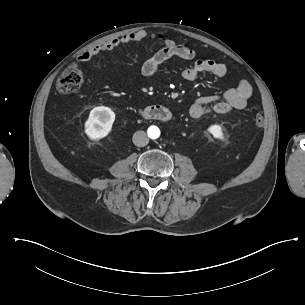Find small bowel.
I'll list each match as a JSON object with an SVG mask.
<instances>
[{"label":"small bowel","instance_id":"1","mask_svg":"<svg viewBox=\"0 0 305 305\" xmlns=\"http://www.w3.org/2000/svg\"><path fill=\"white\" fill-rule=\"evenodd\" d=\"M124 44L139 43L146 40H152L160 43L162 48L152 57L146 60L141 68V73L146 78L156 76L159 67L167 60L173 57L193 61L192 66L186 68L182 73V78L187 82L194 81L200 73H210L218 78L227 75V66L212 59L196 58L193 49L176 44L171 38L161 32H152L140 30L123 35ZM121 45L119 39L110 37L106 42L98 44L86 52L78 55L79 60H90L111 48L117 49ZM252 96V86L246 79H240L236 86L227 89L221 96L206 95L196 98L189 107V114L193 118L212 113H225L231 109H244L248 100Z\"/></svg>","mask_w":305,"mask_h":305}]
</instances>
